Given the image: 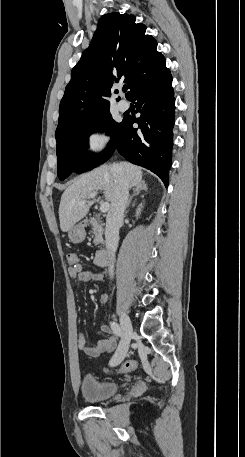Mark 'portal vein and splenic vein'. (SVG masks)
<instances>
[{
  "label": "portal vein and splenic vein",
  "instance_id": "18ae733b",
  "mask_svg": "<svg viewBox=\"0 0 245 457\" xmlns=\"http://www.w3.org/2000/svg\"><path fill=\"white\" fill-rule=\"evenodd\" d=\"M97 192H89L88 196H86V198H93V196H96ZM83 204H85L86 200H82ZM110 208V204L109 202H102V204H100V210L101 212H107V210H109Z\"/></svg>",
  "mask_w": 245,
  "mask_h": 457
}]
</instances>
